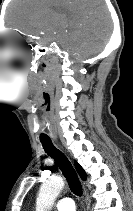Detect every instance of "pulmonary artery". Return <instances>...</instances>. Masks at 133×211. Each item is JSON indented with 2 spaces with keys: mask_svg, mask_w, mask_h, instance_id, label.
I'll use <instances>...</instances> for the list:
<instances>
[{
  "mask_svg": "<svg viewBox=\"0 0 133 211\" xmlns=\"http://www.w3.org/2000/svg\"><path fill=\"white\" fill-rule=\"evenodd\" d=\"M55 208L57 211H75V204L71 198L65 197L57 201Z\"/></svg>",
  "mask_w": 133,
  "mask_h": 211,
  "instance_id": "1",
  "label": "pulmonary artery"
}]
</instances>
